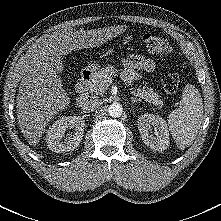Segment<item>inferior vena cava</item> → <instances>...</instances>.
<instances>
[{
	"instance_id": "602c4592",
	"label": "inferior vena cava",
	"mask_w": 221,
	"mask_h": 221,
	"mask_svg": "<svg viewBox=\"0 0 221 221\" xmlns=\"http://www.w3.org/2000/svg\"><path fill=\"white\" fill-rule=\"evenodd\" d=\"M101 105V100L97 97H94L90 99L89 101L84 102L82 105V110L84 112H91L94 111L96 108H98Z\"/></svg>"
}]
</instances>
